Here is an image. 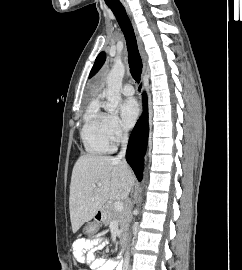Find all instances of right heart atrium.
<instances>
[{
	"label": "right heart atrium",
	"instance_id": "obj_1",
	"mask_svg": "<svg viewBox=\"0 0 242 270\" xmlns=\"http://www.w3.org/2000/svg\"><path fill=\"white\" fill-rule=\"evenodd\" d=\"M107 127L113 143H119L125 139L127 130L117 116H108Z\"/></svg>",
	"mask_w": 242,
	"mask_h": 270
}]
</instances>
